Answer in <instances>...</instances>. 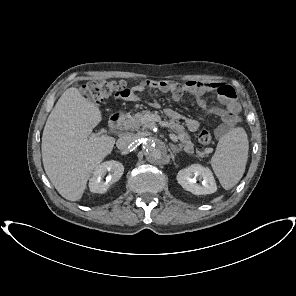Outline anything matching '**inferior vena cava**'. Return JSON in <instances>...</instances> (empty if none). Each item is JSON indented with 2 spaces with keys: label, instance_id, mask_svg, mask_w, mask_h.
<instances>
[{
  "label": "inferior vena cava",
  "instance_id": "inferior-vena-cava-1",
  "mask_svg": "<svg viewBox=\"0 0 296 296\" xmlns=\"http://www.w3.org/2000/svg\"><path fill=\"white\" fill-rule=\"evenodd\" d=\"M135 141V137L132 135H125L121 138H119L116 142V146L119 150L127 149L129 146H131Z\"/></svg>",
  "mask_w": 296,
  "mask_h": 296
}]
</instances>
